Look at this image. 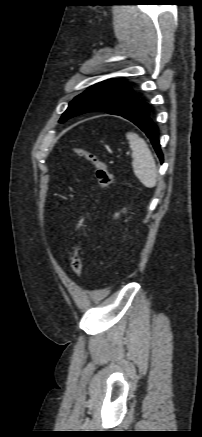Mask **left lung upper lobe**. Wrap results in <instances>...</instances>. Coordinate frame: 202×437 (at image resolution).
I'll list each match as a JSON object with an SVG mask.
<instances>
[{
	"label": "left lung upper lobe",
	"instance_id": "5c2ea615",
	"mask_svg": "<svg viewBox=\"0 0 202 437\" xmlns=\"http://www.w3.org/2000/svg\"><path fill=\"white\" fill-rule=\"evenodd\" d=\"M137 98L128 83L116 79L104 80L76 96L59 122L86 112H108Z\"/></svg>",
	"mask_w": 202,
	"mask_h": 437
}]
</instances>
